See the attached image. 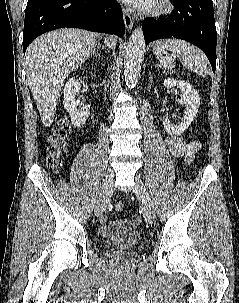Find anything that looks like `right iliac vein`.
Listing matches in <instances>:
<instances>
[{"label":"right iliac vein","instance_id":"obj_1","mask_svg":"<svg viewBox=\"0 0 239 303\" xmlns=\"http://www.w3.org/2000/svg\"><path fill=\"white\" fill-rule=\"evenodd\" d=\"M112 184H113V171L111 168H108L105 172V180L103 183L102 191L100 193V196L96 202L94 209V214L97 217L103 214V212L105 211L108 205Z\"/></svg>","mask_w":239,"mask_h":303}]
</instances>
